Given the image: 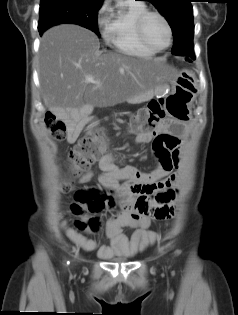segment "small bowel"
Wrapping results in <instances>:
<instances>
[{
    "label": "small bowel",
    "instance_id": "small-bowel-1",
    "mask_svg": "<svg viewBox=\"0 0 238 315\" xmlns=\"http://www.w3.org/2000/svg\"><path fill=\"white\" fill-rule=\"evenodd\" d=\"M95 126L96 121L92 119L70 121L69 142H74L84 127L92 129ZM162 132L163 128L152 132H140L134 139L136 144L148 143L149 147H153L158 165L150 172H143L129 165L118 167L115 165L117 157L115 153H105L100 157L102 173L99 181L115 191L123 210L106 228V234L110 239L109 245H101L95 240L87 239L76 229L64 226V232L78 247L87 251L97 250L101 258L109 259L114 256L135 255L156 241L157 234L148 230L151 218L168 220L174 215V207L170 205L154 207L150 205L148 199L158 191L163 192L156 196L157 202L161 204H166L174 198L173 187L179 181L180 175L172 171L180 168L179 147L183 145L182 140L160 134ZM92 177L93 172L86 169L77 175L76 181L87 183ZM126 226L135 228L130 238L123 233Z\"/></svg>",
    "mask_w": 238,
    "mask_h": 315
}]
</instances>
